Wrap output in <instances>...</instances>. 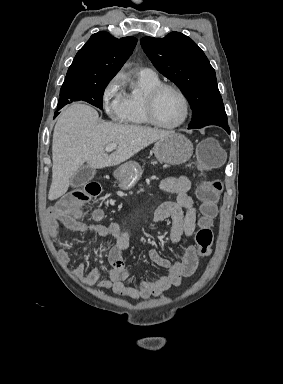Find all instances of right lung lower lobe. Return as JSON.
Masks as SVG:
<instances>
[{"label":"right lung lower lobe","mask_w":283,"mask_h":384,"mask_svg":"<svg viewBox=\"0 0 283 384\" xmlns=\"http://www.w3.org/2000/svg\"><path fill=\"white\" fill-rule=\"evenodd\" d=\"M58 110H59V109H58ZM58 114H59L58 112H55V115H54V117H56Z\"/></svg>","instance_id":"obj_1"}]
</instances>
